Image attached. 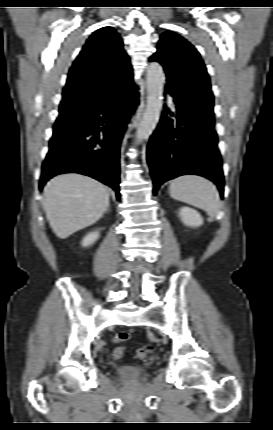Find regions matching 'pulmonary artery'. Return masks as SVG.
Segmentation results:
<instances>
[{"label":"pulmonary artery","instance_id":"pulmonary-artery-1","mask_svg":"<svg viewBox=\"0 0 273 430\" xmlns=\"http://www.w3.org/2000/svg\"><path fill=\"white\" fill-rule=\"evenodd\" d=\"M169 104H170V106H171L173 109H175V107H174V103L172 102V100H171V99H169Z\"/></svg>","mask_w":273,"mask_h":430}]
</instances>
